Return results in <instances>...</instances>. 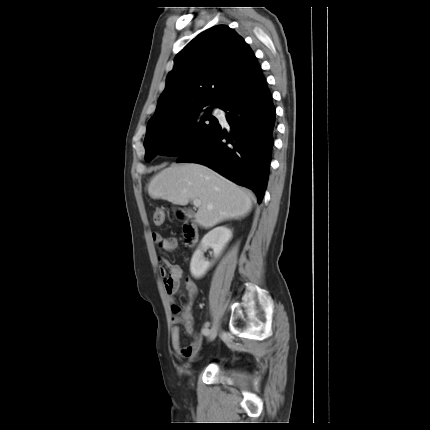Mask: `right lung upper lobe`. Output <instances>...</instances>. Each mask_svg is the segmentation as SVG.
Masks as SVG:
<instances>
[{
	"instance_id": "obj_1",
	"label": "right lung upper lobe",
	"mask_w": 430,
	"mask_h": 430,
	"mask_svg": "<svg viewBox=\"0 0 430 430\" xmlns=\"http://www.w3.org/2000/svg\"><path fill=\"white\" fill-rule=\"evenodd\" d=\"M263 77L253 51L233 29H207L176 55L147 127L193 108L223 105L236 89Z\"/></svg>"
}]
</instances>
